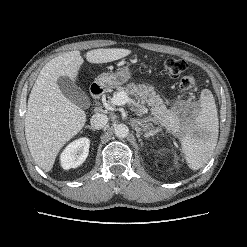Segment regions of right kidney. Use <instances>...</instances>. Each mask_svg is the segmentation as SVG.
Here are the masks:
<instances>
[{
	"label": "right kidney",
	"mask_w": 247,
	"mask_h": 247,
	"mask_svg": "<svg viewBox=\"0 0 247 247\" xmlns=\"http://www.w3.org/2000/svg\"><path fill=\"white\" fill-rule=\"evenodd\" d=\"M90 140L86 137L71 142L60 155V163L63 169L77 168L87 158Z\"/></svg>",
	"instance_id": "obj_1"
}]
</instances>
